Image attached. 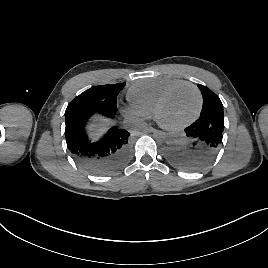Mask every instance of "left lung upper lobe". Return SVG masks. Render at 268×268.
I'll list each match as a JSON object with an SVG mask.
<instances>
[{"instance_id": "left-lung-upper-lobe-1", "label": "left lung upper lobe", "mask_w": 268, "mask_h": 268, "mask_svg": "<svg viewBox=\"0 0 268 268\" xmlns=\"http://www.w3.org/2000/svg\"><path fill=\"white\" fill-rule=\"evenodd\" d=\"M198 87L201 90L203 96V107L200 118L214 115L224 116L223 105L219 97L206 86L198 84Z\"/></svg>"}]
</instances>
